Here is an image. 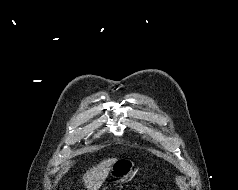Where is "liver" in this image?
Here are the masks:
<instances>
[{"mask_svg": "<svg viewBox=\"0 0 238 190\" xmlns=\"http://www.w3.org/2000/svg\"><path fill=\"white\" fill-rule=\"evenodd\" d=\"M116 158L104 160L97 166L88 170L83 175V182L88 190H98L107 178L111 166L116 162Z\"/></svg>", "mask_w": 238, "mask_h": 190, "instance_id": "1", "label": "liver"}]
</instances>
